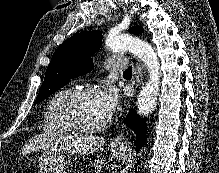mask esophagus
<instances>
[{"label":"esophagus","instance_id":"1","mask_svg":"<svg viewBox=\"0 0 219 173\" xmlns=\"http://www.w3.org/2000/svg\"><path fill=\"white\" fill-rule=\"evenodd\" d=\"M136 72L138 74V78L141 77V69L137 67ZM113 145H121L123 146L126 144V139L124 137L123 133L118 134L113 140H112Z\"/></svg>","mask_w":219,"mask_h":173}]
</instances>
